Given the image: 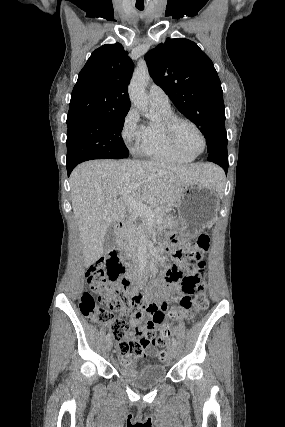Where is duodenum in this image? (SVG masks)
Wrapping results in <instances>:
<instances>
[{
  "label": "duodenum",
  "mask_w": 285,
  "mask_h": 427,
  "mask_svg": "<svg viewBox=\"0 0 285 427\" xmlns=\"http://www.w3.org/2000/svg\"><path fill=\"white\" fill-rule=\"evenodd\" d=\"M127 225H128V223L124 218H120V219L116 220V222H115V227L117 230H123L127 227ZM113 252L115 254H117L116 250H114Z\"/></svg>",
  "instance_id": "duodenum-1"
}]
</instances>
